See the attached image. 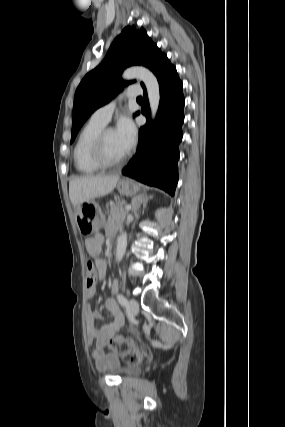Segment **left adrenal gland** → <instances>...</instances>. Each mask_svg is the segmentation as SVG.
Returning <instances> with one entry per match:
<instances>
[{
  "instance_id": "left-adrenal-gland-1",
  "label": "left adrenal gland",
  "mask_w": 285,
  "mask_h": 427,
  "mask_svg": "<svg viewBox=\"0 0 285 427\" xmlns=\"http://www.w3.org/2000/svg\"><path fill=\"white\" fill-rule=\"evenodd\" d=\"M149 198H151V197H149ZM147 200H148L147 196H144V195L135 196L132 199V202H131V204H132V211L134 213L137 212V210L140 208V205L142 203H145Z\"/></svg>"
}]
</instances>
